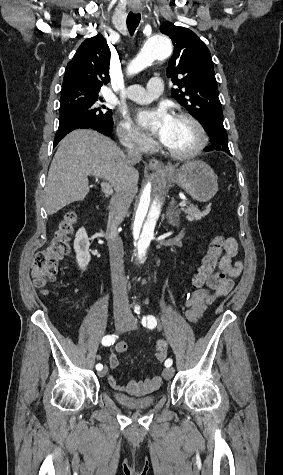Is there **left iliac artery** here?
<instances>
[{"label":"left iliac artery","instance_id":"1","mask_svg":"<svg viewBox=\"0 0 283 475\" xmlns=\"http://www.w3.org/2000/svg\"><path fill=\"white\" fill-rule=\"evenodd\" d=\"M137 314H139V311H136ZM142 325L144 327H148L150 329L154 328L157 325V320L153 315H148L147 317H143L141 321ZM173 361L172 359H167L165 361V366L170 367L172 365Z\"/></svg>","mask_w":283,"mask_h":475}]
</instances>
